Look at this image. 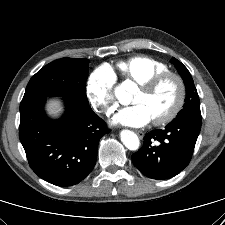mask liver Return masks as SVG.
Wrapping results in <instances>:
<instances>
[{"label": "liver", "mask_w": 225, "mask_h": 225, "mask_svg": "<svg viewBox=\"0 0 225 225\" xmlns=\"http://www.w3.org/2000/svg\"><path fill=\"white\" fill-rule=\"evenodd\" d=\"M46 110L48 115L54 118L58 117L63 110L60 99L57 97L50 98L46 105Z\"/></svg>", "instance_id": "obj_1"}]
</instances>
